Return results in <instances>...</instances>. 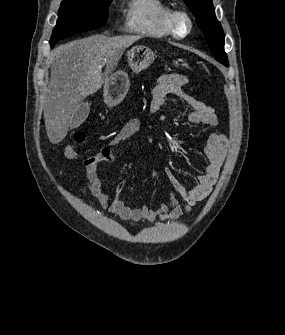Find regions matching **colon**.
I'll list each match as a JSON object with an SVG mask.
<instances>
[{
  "instance_id": "5ec220e1",
  "label": "colon",
  "mask_w": 285,
  "mask_h": 335,
  "mask_svg": "<svg viewBox=\"0 0 285 335\" xmlns=\"http://www.w3.org/2000/svg\"><path fill=\"white\" fill-rule=\"evenodd\" d=\"M176 67L180 68V69H184V70H188L190 69V64L187 60L179 58L176 59L174 61ZM85 138V135L83 132H76L74 135V140L77 143H81ZM65 156L66 158H68L69 160H75L79 157V153L77 151V149L73 146H69L66 148L65 150Z\"/></svg>"
}]
</instances>
